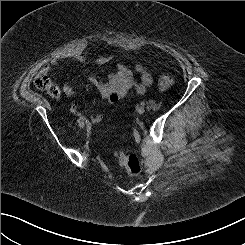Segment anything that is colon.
Returning a JSON list of instances; mask_svg holds the SVG:
<instances>
[{"mask_svg":"<svg viewBox=\"0 0 245 245\" xmlns=\"http://www.w3.org/2000/svg\"><path fill=\"white\" fill-rule=\"evenodd\" d=\"M175 83L174 76L167 71L162 72L158 78V86L162 90L171 88ZM34 85L41 91L46 92L50 96L56 97L59 94L58 87L52 81L46 71L39 72L35 79ZM120 164L126 169L130 176H137L141 171V163L137 155L118 152L116 154Z\"/></svg>","mask_w":245,"mask_h":245,"instance_id":"colon-1","label":"colon"}]
</instances>
